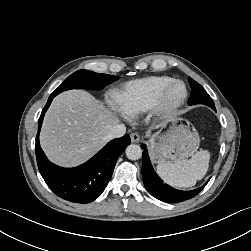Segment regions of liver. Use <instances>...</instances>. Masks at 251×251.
<instances>
[{
    "label": "liver",
    "instance_id": "6515ba94",
    "mask_svg": "<svg viewBox=\"0 0 251 251\" xmlns=\"http://www.w3.org/2000/svg\"><path fill=\"white\" fill-rule=\"evenodd\" d=\"M119 118L84 90L56 96L45 114L40 142L48 158L61 166L79 165L106 143Z\"/></svg>",
    "mask_w": 251,
    "mask_h": 251
}]
</instances>
